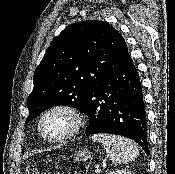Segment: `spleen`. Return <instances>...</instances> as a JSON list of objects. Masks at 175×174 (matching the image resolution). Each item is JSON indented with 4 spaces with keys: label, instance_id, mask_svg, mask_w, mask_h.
I'll list each match as a JSON object with an SVG mask.
<instances>
[{
    "label": "spleen",
    "instance_id": "1",
    "mask_svg": "<svg viewBox=\"0 0 175 174\" xmlns=\"http://www.w3.org/2000/svg\"><path fill=\"white\" fill-rule=\"evenodd\" d=\"M92 140L104 146L108 157L116 165L131 162L139 155L135 143L121 136L99 133L94 134Z\"/></svg>",
    "mask_w": 175,
    "mask_h": 174
}]
</instances>
